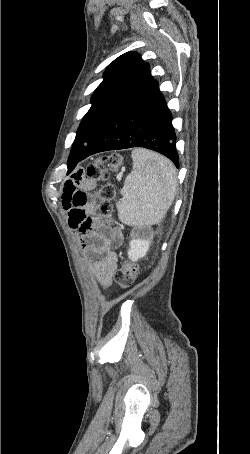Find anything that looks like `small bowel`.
Here are the masks:
<instances>
[{
	"label": "small bowel",
	"mask_w": 250,
	"mask_h": 454,
	"mask_svg": "<svg viewBox=\"0 0 250 454\" xmlns=\"http://www.w3.org/2000/svg\"><path fill=\"white\" fill-rule=\"evenodd\" d=\"M95 186L82 170H76L64 184L63 205L68 210V222L78 232V242L86 254L93 274L106 288L111 285L117 270L115 249L123 242L118 229L108 228L102 221L89 215L91 201L88 192Z\"/></svg>",
	"instance_id": "c3829d8e"
}]
</instances>
